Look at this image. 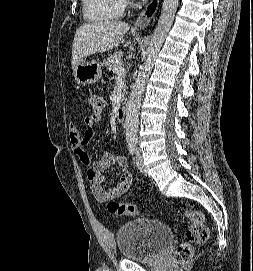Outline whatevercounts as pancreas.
Wrapping results in <instances>:
<instances>
[{"mask_svg": "<svg viewBox=\"0 0 253 271\" xmlns=\"http://www.w3.org/2000/svg\"><path fill=\"white\" fill-rule=\"evenodd\" d=\"M122 56V52H115L103 61V65L106 66L109 71L116 74L115 68L122 67L123 65V61L121 59Z\"/></svg>", "mask_w": 253, "mask_h": 271, "instance_id": "obj_1", "label": "pancreas"}]
</instances>
